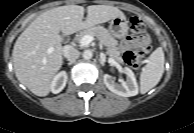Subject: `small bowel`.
<instances>
[{"mask_svg": "<svg viewBox=\"0 0 194 133\" xmlns=\"http://www.w3.org/2000/svg\"><path fill=\"white\" fill-rule=\"evenodd\" d=\"M149 42L148 36L127 37L124 40L122 47L125 50L140 47L144 52H151L153 50V45Z\"/></svg>", "mask_w": 194, "mask_h": 133, "instance_id": "1", "label": "small bowel"}]
</instances>
